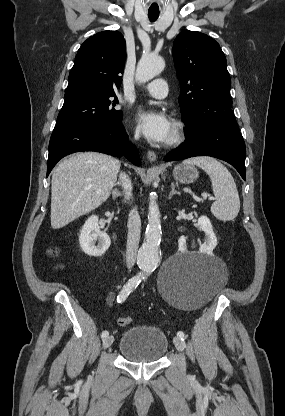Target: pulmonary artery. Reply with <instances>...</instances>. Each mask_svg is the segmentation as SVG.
<instances>
[{
	"label": "pulmonary artery",
	"instance_id": "1",
	"mask_svg": "<svg viewBox=\"0 0 285 416\" xmlns=\"http://www.w3.org/2000/svg\"><path fill=\"white\" fill-rule=\"evenodd\" d=\"M162 86H167V83L162 78H157L151 81L150 83L140 87L141 91L148 92L151 96L156 97L158 102H163L165 100V90L160 89Z\"/></svg>",
	"mask_w": 285,
	"mask_h": 416
}]
</instances>
